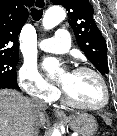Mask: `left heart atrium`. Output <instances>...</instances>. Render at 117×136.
<instances>
[{"mask_svg": "<svg viewBox=\"0 0 117 136\" xmlns=\"http://www.w3.org/2000/svg\"><path fill=\"white\" fill-rule=\"evenodd\" d=\"M58 65V62L56 60H48L45 63V67L48 71H52L56 66ZM63 83V80H62Z\"/></svg>", "mask_w": 117, "mask_h": 136, "instance_id": "1", "label": "left heart atrium"}]
</instances>
